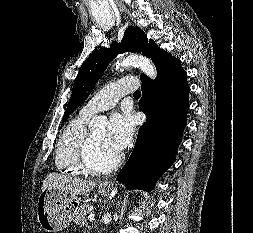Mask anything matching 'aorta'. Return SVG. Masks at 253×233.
I'll use <instances>...</instances> for the list:
<instances>
[{
    "label": "aorta",
    "mask_w": 253,
    "mask_h": 233,
    "mask_svg": "<svg viewBox=\"0 0 253 233\" xmlns=\"http://www.w3.org/2000/svg\"><path fill=\"white\" fill-rule=\"evenodd\" d=\"M128 66H134L137 68H140L141 71L146 74L151 79H155L157 76V72L155 69L154 64L150 59L143 55H130L126 58H124L122 61H120L117 65V67H128ZM107 125V121L105 118L101 116L94 117L90 123L89 128L91 130H95L97 128H104Z\"/></svg>",
    "instance_id": "obj_1"
}]
</instances>
